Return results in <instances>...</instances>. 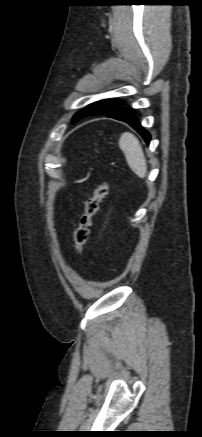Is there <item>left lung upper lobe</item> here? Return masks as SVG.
<instances>
[{
  "label": "left lung upper lobe",
  "mask_w": 202,
  "mask_h": 437,
  "mask_svg": "<svg viewBox=\"0 0 202 437\" xmlns=\"http://www.w3.org/2000/svg\"><path fill=\"white\" fill-rule=\"evenodd\" d=\"M119 107H121V105H119L117 102L110 100V99L97 101V102L90 104L89 106H87L83 110L77 112L73 116L72 122L75 123L80 118L85 117V116H89V115H98V114L105 115V114L112 112L113 110H115Z\"/></svg>",
  "instance_id": "obj_1"
}]
</instances>
